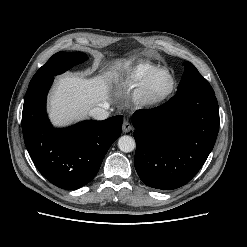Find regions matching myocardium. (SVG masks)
Returning <instances> with one entry per match:
<instances>
[{"label": "myocardium", "instance_id": "f54148a6", "mask_svg": "<svg viewBox=\"0 0 247 247\" xmlns=\"http://www.w3.org/2000/svg\"><path fill=\"white\" fill-rule=\"evenodd\" d=\"M157 72H164L166 73L170 79H171V86L170 89L165 93L163 96L159 98H150L146 95L145 89L148 80L152 75H154ZM176 89V79L172 72L165 67H155L151 70H149L139 81V83L136 85L132 99L136 106L140 108H155L162 104H164L166 101H168Z\"/></svg>", "mask_w": 247, "mask_h": 247}]
</instances>
